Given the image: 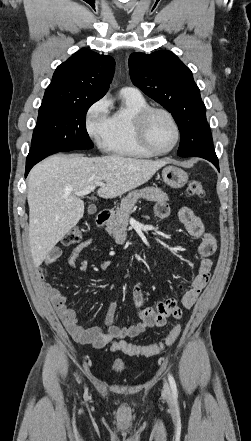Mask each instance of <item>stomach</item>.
I'll list each match as a JSON object with an SVG mask.
<instances>
[{
  "label": "stomach",
  "instance_id": "1",
  "mask_svg": "<svg viewBox=\"0 0 251 441\" xmlns=\"http://www.w3.org/2000/svg\"><path fill=\"white\" fill-rule=\"evenodd\" d=\"M162 177L165 184L178 189L184 187L188 182V174L176 166H167L162 170Z\"/></svg>",
  "mask_w": 251,
  "mask_h": 441
}]
</instances>
